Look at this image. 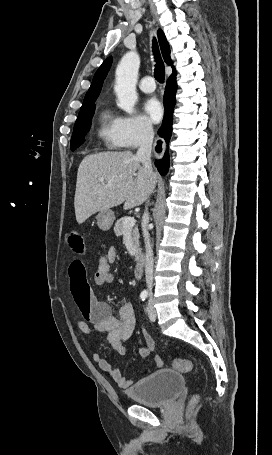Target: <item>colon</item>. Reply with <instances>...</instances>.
Returning <instances> with one entry per match:
<instances>
[{
	"label": "colon",
	"instance_id": "colon-1",
	"mask_svg": "<svg viewBox=\"0 0 272 455\" xmlns=\"http://www.w3.org/2000/svg\"><path fill=\"white\" fill-rule=\"evenodd\" d=\"M112 280V274L110 271V262L106 254L99 257L98 262L94 268L93 281L97 285H104ZM173 367L184 373L194 372V364L189 360L175 359L173 361ZM196 398L192 402H195Z\"/></svg>",
	"mask_w": 272,
	"mask_h": 455
}]
</instances>
